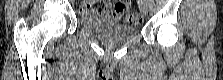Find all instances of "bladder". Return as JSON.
<instances>
[{"label": "bladder", "mask_w": 223, "mask_h": 80, "mask_svg": "<svg viewBox=\"0 0 223 80\" xmlns=\"http://www.w3.org/2000/svg\"><path fill=\"white\" fill-rule=\"evenodd\" d=\"M79 23L85 32L103 41H126L138 33L135 26L102 18L82 16Z\"/></svg>", "instance_id": "31cf9c89"}]
</instances>
